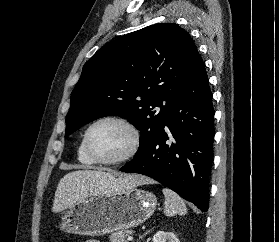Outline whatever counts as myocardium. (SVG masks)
I'll return each mask as SVG.
<instances>
[{"instance_id":"obj_1","label":"myocardium","mask_w":279,"mask_h":242,"mask_svg":"<svg viewBox=\"0 0 279 242\" xmlns=\"http://www.w3.org/2000/svg\"><path fill=\"white\" fill-rule=\"evenodd\" d=\"M104 122H114L118 123L122 126H124L130 133L131 136V143L129 149L124 153L122 156L114 159H101L97 157L91 150L90 147V134L92 130L99 124L104 123ZM83 144H84V149L88 157L96 164H101V165H120L122 163H125L131 159H133L141 146V133L138 129V127L129 119L121 116H116V115H107L100 117L96 120H94L86 129L84 137H83Z\"/></svg>"}]
</instances>
